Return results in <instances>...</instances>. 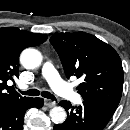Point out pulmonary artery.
<instances>
[{
	"mask_svg": "<svg viewBox=\"0 0 130 130\" xmlns=\"http://www.w3.org/2000/svg\"><path fill=\"white\" fill-rule=\"evenodd\" d=\"M42 75L49 83L50 87L58 95L70 100L73 103L79 104L82 101V97L71 89V87L64 82L55 70L53 64L50 61H46L42 67ZM27 86L22 85L21 88L25 89Z\"/></svg>",
	"mask_w": 130,
	"mask_h": 130,
	"instance_id": "pulmonary-artery-1",
	"label": "pulmonary artery"
}]
</instances>
